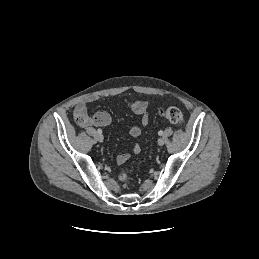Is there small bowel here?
Masks as SVG:
<instances>
[{"mask_svg": "<svg viewBox=\"0 0 259 259\" xmlns=\"http://www.w3.org/2000/svg\"><path fill=\"white\" fill-rule=\"evenodd\" d=\"M99 98L96 96H89L81 101H79L75 107V116L77 119L84 118V125L87 126H100L105 127L109 125L111 118L110 115L105 111H98L93 116L88 115L87 105L91 102L98 100ZM128 107L137 115L141 117L142 125L146 126L149 122L148 116V104L146 101L142 100H133L126 101ZM141 134V128L139 126H133L130 129V135L132 137H137ZM134 153H139L141 151V147L139 145H135L133 148ZM128 153L119 154L116 157V162L118 164H122L126 162L129 158Z\"/></svg>", "mask_w": 259, "mask_h": 259, "instance_id": "small-bowel-1", "label": "small bowel"}]
</instances>
